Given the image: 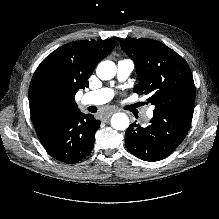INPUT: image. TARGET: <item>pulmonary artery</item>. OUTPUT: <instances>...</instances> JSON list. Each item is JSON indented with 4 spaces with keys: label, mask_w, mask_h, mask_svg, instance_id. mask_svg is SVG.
Masks as SVG:
<instances>
[{
    "label": "pulmonary artery",
    "mask_w": 219,
    "mask_h": 219,
    "mask_svg": "<svg viewBox=\"0 0 219 219\" xmlns=\"http://www.w3.org/2000/svg\"><path fill=\"white\" fill-rule=\"evenodd\" d=\"M134 69V63L129 59L120 60L117 63V77L120 81L126 80ZM113 97V91L108 88H102L85 93L82 96L83 105H102L109 102ZM152 115V109H148L145 117Z\"/></svg>",
    "instance_id": "1"
}]
</instances>
